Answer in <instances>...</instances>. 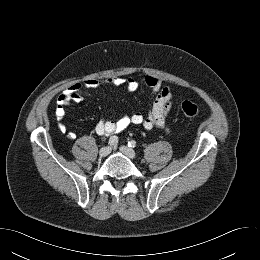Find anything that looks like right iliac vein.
Segmentation results:
<instances>
[{"instance_id": "right-iliac-vein-1", "label": "right iliac vein", "mask_w": 260, "mask_h": 260, "mask_svg": "<svg viewBox=\"0 0 260 260\" xmlns=\"http://www.w3.org/2000/svg\"><path fill=\"white\" fill-rule=\"evenodd\" d=\"M110 152H111V147L105 146V147H102V148L99 150V155H100L101 157H106Z\"/></svg>"}]
</instances>
